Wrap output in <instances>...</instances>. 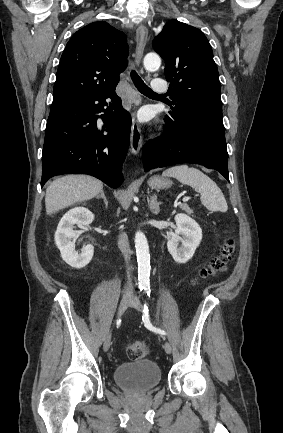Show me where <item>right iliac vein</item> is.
<instances>
[{"label":"right iliac vein","mask_w":283,"mask_h":433,"mask_svg":"<svg viewBox=\"0 0 283 433\" xmlns=\"http://www.w3.org/2000/svg\"><path fill=\"white\" fill-rule=\"evenodd\" d=\"M130 303H131V300L129 298L124 297L121 300L119 308H118V317H120L123 314V312L127 309V307L130 305ZM110 345H111V331H109L105 336V339L103 342V350L105 352H107L110 348Z\"/></svg>","instance_id":"63e3f726"}]
</instances>
